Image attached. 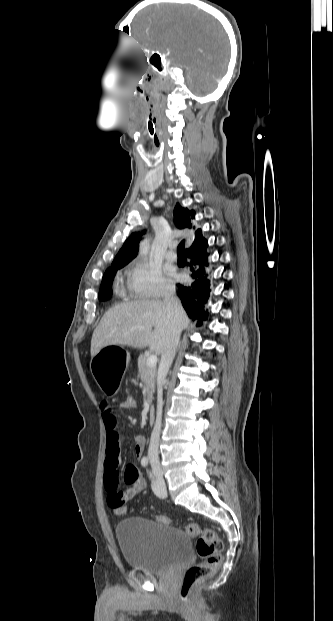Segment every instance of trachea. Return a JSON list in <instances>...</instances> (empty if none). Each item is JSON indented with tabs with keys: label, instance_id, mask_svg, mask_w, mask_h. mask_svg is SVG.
Returning <instances> with one entry per match:
<instances>
[{
	"label": "trachea",
	"instance_id": "1",
	"mask_svg": "<svg viewBox=\"0 0 333 621\" xmlns=\"http://www.w3.org/2000/svg\"><path fill=\"white\" fill-rule=\"evenodd\" d=\"M184 247H185V243H184V241H181L179 246H178V248H177V253L181 254V255H184L185 254Z\"/></svg>",
	"mask_w": 333,
	"mask_h": 621
}]
</instances>
